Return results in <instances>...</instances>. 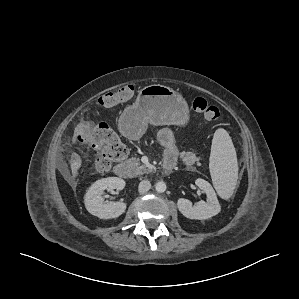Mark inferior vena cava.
Segmentation results:
<instances>
[{
  "mask_svg": "<svg viewBox=\"0 0 299 299\" xmlns=\"http://www.w3.org/2000/svg\"><path fill=\"white\" fill-rule=\"evenodd\" d=\"M150 188H151V183H150V181H148V180H142V181L139 183L138 191H139V193L144 194V193H146L147 191H149Z\"/></svg>",
  "mask_w": 299,
  "mask_h": 299,
  "instance_id": "1",
  "label": "inferior vena cava"
}]
</instances>
